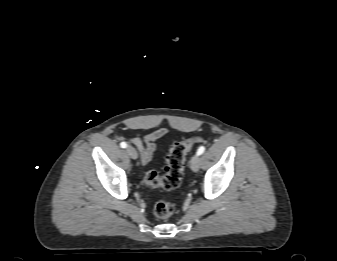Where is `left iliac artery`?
<instances>
[{
    "label": "left iliac artery",
    "mask_w": 337,
    "mask_h": 261,
    "mask_svg": "<svg viewBox=\"0 0 337 261\" xmlns=\"http://www.w3.org/2000/svg\"><path fill=\"white\" fill-rule=\"evenodd\" d=\"M204 151H205V147L204 146L199 147L198 150H197V155L203 154Z\"/></svg>",
    "instance_id": "obj_1"
}]
</instances>
